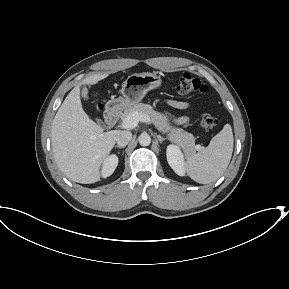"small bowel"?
I'll return each mask as SVG.
<instances>
[{
    "label": "small bowel",
    "instance_id": "obj_1",
    "mask_svg": "<svg viewBox=\"0 0 289 289\" xmlns=\"http://www.w3.org/2000/svg\"><path fill=\"white\" fill-rule=\"evenodd\" d=\"M167 104L171 107L177 108V109H186L189 107V104L187 102H183V101H177V100H169L167 102ZM187 121L186 118L184 117H180V118H176L175 122L179 123V124H183Z\"/></svg>",
    "mask_w": 289,
    "mask_h": 289
}]
</instances>
